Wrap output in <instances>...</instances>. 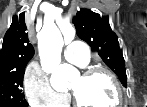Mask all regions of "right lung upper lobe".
<instances>
[{"label":"right lung upper lobe","mask_w":147,"mask_h":107,"mask_svg":"<svg viewBox=\"0 0 147 107\" xmlns=\"http://www.w3.org/2000/svg\"><path fill=\"white\" fill-rule=\"evenodd\" d=\"M34 49L29 43L24 13L13 18L7 30L0 51V75L18 71L26 67L32 59Z\"/></svg>","instance_id":"1"}]
</instances>
